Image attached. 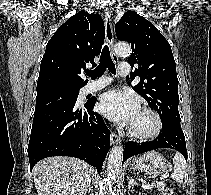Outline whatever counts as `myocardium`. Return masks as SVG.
Listing matches in <instances>:
<instances>
[{"mask_svg": "<svg viewBox=\"0 0 211 195\" xmlns=\"http://www.w3.org/2000/svg\"><path fill=\"white\" fill-rule=\"evenodd\" d=\"M140 111L149 114L154 121V125L152 129L147 132H138L130 127L128 130L130 137L139 141H147L155 138L162 130L163 122L161 116L157 111L149 107H144Z\"/></svg>", "mask_w": 211, "mask_h": 195, "instance_id": "myocardium-1", "label": "myocardium"}]
</instances>
